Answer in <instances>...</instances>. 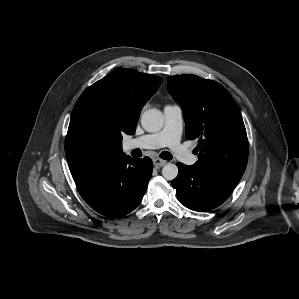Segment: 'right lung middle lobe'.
Listing matches in <instances>:
<instances>
[{
  "label": "right lung middle lobe",
  "mask_w": 299,
  "mask_h": 299,
  "mask_svg": "<svg viewBox=\"0 0 299 299\" xmlns=\"http://www.w3.org/2000/svg\"><path fill=\"white\" fill-rule=\"evenodd\" d=\"M121 140V126L112 109L93 100L76 104L65 140L68 164H93L110 157Z\"/></svg>",
  "instance_id": "right-lung-middle-lobe-1"
}]
</instances>
